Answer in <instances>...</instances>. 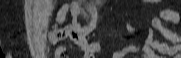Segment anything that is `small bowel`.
<instances>
[{"mask_svg": "<svg viewBox=\"0 0 181 58\" xmlns=\"http://www.w3.org/2000/svg\"><path fill=\"white\" fill-rule=\"evenodd\" d=\"M83 5L88 12H95V8L90 2H85ZM81 8L82 5L78 1L63 4L56 14L49 38L52 42H55L58 36L71 38L82 48L85 58H94V54L101 51V46L98 43H88L86 41L85 36L90 32L91 26L81 27L77 23ZM68 13L72 15L73 23L59 32V27L66 20ZM180 19V14L177 11L168 8H159V15L150 21L143 42L139 45L124 47L115 52L113 58H124L129 53L140 55L143 58H154L153 51L181 58V37L162 25V20L177 24L180 22ZM127 28L131 33L136 32V29L130 25ZM154 30H157L172 45L154 40ZM65 54V47L61 46L57 49L58 57L63 58Z\"/></svg>", "mask_w": 181, "mask_h": 58, "instance_id": "1", "label": "small bowel"}]
</instances>
